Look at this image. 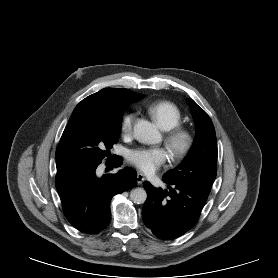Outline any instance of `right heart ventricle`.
Instances as JSON below:
<instances>
[{
  "label": "right heart ventricle",
  "mask_w": 278,
  "mask_h": 278,
  "mask_svg": "<svg viewBox=\"0 0 278 278\" xmlns=\"http://www.w3.org/2000/svg\"><path fill=\"white\" fill-rule=\"evenodd\" d=\"M151 118L164 130H171L182 121V112L179 107L167 100L153 102L147 106Z\"/></svg>",
  "instance_id": "obj_1"
}]
</instances>
